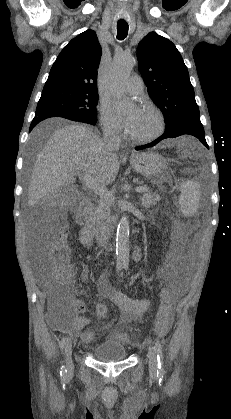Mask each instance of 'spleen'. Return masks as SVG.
I'll return each mask as SVG.
<instances>
[{
    "mask_svg": "<svg viewBox=\"0 0 231 419\" xmlns=\"http://www.w3.org/2000/svg\"><path fill=\"white\" fill-rule=\"evenodd\" d=\"M200 186L193 181H184L181 184L179 204L181 211L186 216L195 214L199 204Z\"/></svg>",
    "mask_w": 231,
    "mask_h": 419,
    "instance_id": "1",
    "label": "spleen"
}]
</instances>
